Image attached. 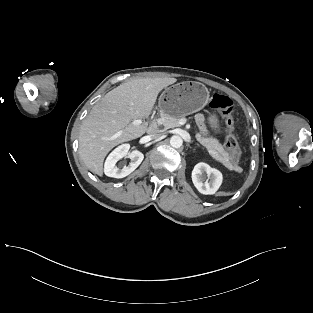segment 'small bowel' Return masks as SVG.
Masks as SVG:
<instances>
[{
	"instance_id": "small-bowel-1",
	"label": "small bowel",
	"mask_w": 313,
	"mask_h": 313,
	"mask_svg": "<svg viewBox=\"0 0 313 313\" xmlns=\"http://www.w3.org/2000/svg\"><path fill=\"white\" fill-rule=\"evenodd\" d=\"M196 121L202 130H206V121L203 115L199 114L196 117Z\"/></svg>"
}]
</instances>
